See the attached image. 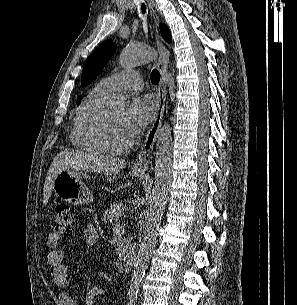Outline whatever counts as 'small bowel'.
<instances>
[{
    "mask_svg": "<svg viewBox=\"0 0 297 305\" xmlns=\"http://www.w3.org/2000/svg\"><path fill=\"white\" fill-rule=\"evenodd\" d=\"M84 238L91 246H98V235L95 229L88 225L84 230ZM46 246L49 249L47 254V265L55 284L61 289L60 300L62 305H79L80 301L76 295L69 292L70 278L64 264V253L57 248L58 242L55 234H49ZM106 290L99 286H94L88 290L84 298L85 305H93L94 300L98 296H104Z\"/></svg>",
    "mask_w": 297,
    "mask_h": 305,
    "instance_id": "c3829d8e",
    "label": "small bowel"
}]
</instances>
